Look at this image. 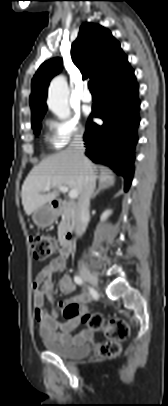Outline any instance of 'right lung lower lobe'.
Returning <instances> with one entry per match:
<instances>
[{
  "label": "right lung lower lobe",
  "mask_w": 168,
  "mask_h": 406,
  "mask_svg": "<svg viewBox=\"0 0 168 406\" xmlns=\"http://www.w3.org/2000/svg\"><path fill=\"white\" fill-rule=\"evenodd\" d=\"M139 86L134 70L128 65L120 73L98 87L99 104L93 106L94 116L103 125L87 123L84 141L86 156L95 163L106 164L125 179V191L133 178V162L140 122Z\"/></svg>",
  "instance_id": "98d812e1"
}]
</instances>
